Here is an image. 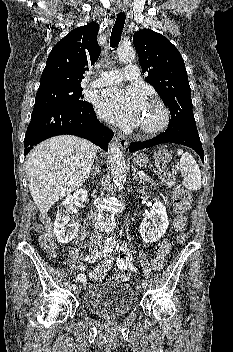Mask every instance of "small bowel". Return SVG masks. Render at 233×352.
Listing matches in <instances>:
<instances>
[{"label":"small bowel","instance_id":"1","mask_svg":"<svg viewBox=\"0 0 233 352\" xmlns=\"http://www.w3.org/2000/svg\"><path fill=\"white\" fill-rule=\"evenodd\" d=\"M116 264L121 270L136 273V268L133 264L132 257L126 245L121 246L120 256L117 258ZM78 269L79 271H81V273L76 276V281L82 285H85L87 280L86 275L83 273V271L85 270V266L83 264H80L78 266Z\"/></svg>","mask_w":233,"mask_h":352}]
</instances>
